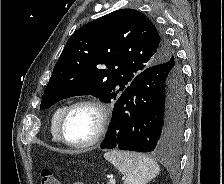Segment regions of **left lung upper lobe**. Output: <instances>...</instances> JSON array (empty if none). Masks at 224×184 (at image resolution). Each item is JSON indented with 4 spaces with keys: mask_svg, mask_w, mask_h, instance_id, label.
Here are the masks:
<instances>
[{
    "mask_svg": "<svg viewBox=\"0 0 224 184\" xmlns=\"http://www.w3.org/2000/svg\"><path fill=\"white\" fill-rule=\"evenodd\" d=\"M171 60L179 69L169 42L143 13L114 11L71 35L53 69L40 109L79 95L110 103L142 71Z\"/></svg>",
    "mask_w": 224,
    "mask_h": 184,
    "instance_id": "1",
    "label": "left lung upper lobe"
}]
</instances>
